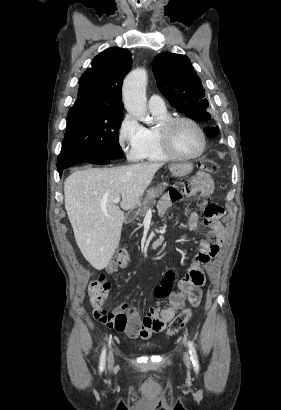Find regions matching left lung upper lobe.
I'll return each mask as SVG.
<instances>
[{"label": "left lung upper lobe", "mask_w": 281, "mask_h": 410, "mask_svg": "<svg viewBox=\"0 0 281 410\" xmlns=\"http://www.w3.org/2000/svg\"><path fill=\"white\" fill-rule=\"evenodd\" d=\"M152 69L157 85L164 97L179 112L197 120H209L206 111L208 101L201 80L194 71L189 58L181 54L163 52L155 56ZM211 128L210 136L218 134V127Z\"/></svg>", "instance_id": "left-lung-upper-lobe-1"}]
</instances>
